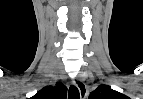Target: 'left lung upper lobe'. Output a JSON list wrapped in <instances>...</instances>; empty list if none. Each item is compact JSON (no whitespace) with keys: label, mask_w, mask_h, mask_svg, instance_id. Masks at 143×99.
<instances>
[{"label":"left lung upper lobe","mask_w":143,"mask_h":99,"mask_svg":"<svg viewBox=\"0 0 143 99\" xmlns=\"http://www.w3.org/2000/svg\"><path fill=\"white\" fill-rule=\"evenodd\" d=\"M89 99H130L126 95L119 93L110 86L101 84L91 94Z\"/></svg>","instance_id":"obj_1"}]
</instances>
